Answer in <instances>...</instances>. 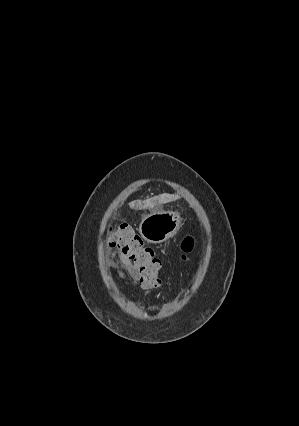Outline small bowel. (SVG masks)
I'll use <instances>...</instances> for the list:
<instances>
[{
	"instance_id": "obj_1",
	"label": "small bowel",
	"mask_w": 299,
	"mask_h": 426,
	"mask_svg": "<svg viewBox=\"0 0 299 426\" xmlns=\"http://www.w3.org/2000/svg\"><path fill=\"white\" fill-rule=\"evenodd\" d=\"M109 268L121 279L139 283L140 271L136 264L120 250L114 251L108 259Z\"/></svg>"
}]
</instances>
